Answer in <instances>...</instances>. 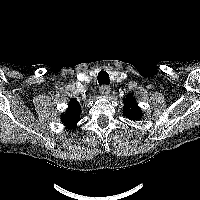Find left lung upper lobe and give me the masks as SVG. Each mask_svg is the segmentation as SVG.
<instances>
[{
	"mask_svg": "<svg viewBox=\"0 0 200 200\" xmlns=\"http://www.w3.org/2000/svg\"><path fill=\"white\" fill-rule=\"evenodd\" d=\"M124 114L131 120H138L142 117L141 109L136 103V99L129 94L124 100Z\"/></svg>",
	"mask_w": 200,
	"mask_h": 200,
	"instance_id": "obj_1",
	"label": "left lung upper lobe"
}]
</instances>
